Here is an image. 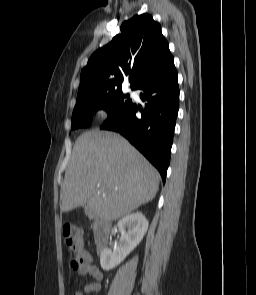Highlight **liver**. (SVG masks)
<instances>
[{
	"label": "liver",
	"instance_id": "1",
	"mask_svg": "<svg viewBox=\"0 0 256 295\" xmlns=\"http://www.w3.org/2000/svg\"><path fill=\"white\" fill-rule=\"evenodd\" d=\"M160 174L119 134H81L65 172L61 211L88 204L103 220H117L156 196Z\"/></svg>",
	"mask_w": 256,
	"mask_h": 295
}]
</instances>
